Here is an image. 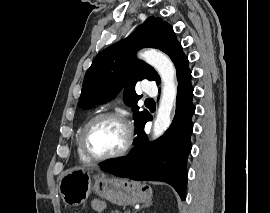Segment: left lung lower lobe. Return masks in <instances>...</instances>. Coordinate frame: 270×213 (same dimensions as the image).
<instances>
[{"instance_id":"obj_1","label":"left lung lower lobe","mask_w":270,"mask_h":213,"mask_svg":"<svg viewBox=\"0 0 270 213\" xmlns=\"http://www.w3.org/2000/svg\"><path fill=\"white\" fill-rule=\"evenodd\" d=\"M191 71L187 68L177 76L178 92L176 113L165 134L149 142L144 125L151 121L150 114L137 127L135 147L127 156L113 159L101 166L105 172L138 181H163L173 186L182 200L186 198L187 156L191 151L193 130V87Z\"/></svg>"}]
</instances>
